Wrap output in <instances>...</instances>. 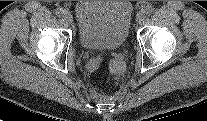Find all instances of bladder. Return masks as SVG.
<instances>
[{"label":"bladder","instance_id":"bladder-1","mask_svg":"<svg viewBox=\"0 0 207 121\" xmlns=\"http://www.w3.org/2000/svg\"><path fill=\"white\" fill-rule=\"evenodd\" d=\"M133 6L129 1H79L78 39L90 51L116 50L128 37Z\"/></svg>","mask_w":207,"mask_h":121}]
</instances>
